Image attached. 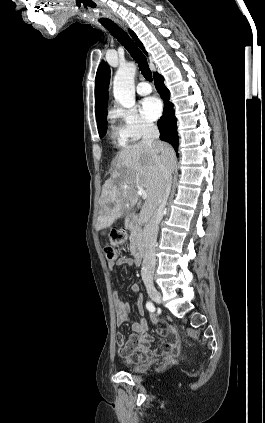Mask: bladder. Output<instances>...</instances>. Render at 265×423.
Returning <instances> with one entry per match:
<instances>
[{
	"instance_id": "31cf9c89",
	"label": "bladder",
	"mask_w": 265,
	"mask_h": 423,
	"mask_svg": "<svg viewBox=\"0 0 265 423\" xmlns=\"http://www.w3.org/2000/svg\"><path fill=\"white\" fill-rule=\"evenodd\" d=\"M153 364H154V360H149V361L145 360L142 363L133 365L130 370L133 373L143 372L148 370Z\"/></svg>"
}]
</instances>
